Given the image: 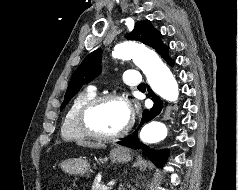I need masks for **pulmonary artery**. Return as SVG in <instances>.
I'll return each instance as SVG.
<instances>
[{
	"instance_id": "obj_1",
	"label": "pulmonary artery",
	"mask_w": 238,
	"mask_h": 190,
	"mask_svg": "<svg viewBox=\"0 0 238 190\" xmlns=\"http://www.w3.org/2000/svg\"><path fill=\"white\" fill-rule=\"evenodd\" d=\"M123 81L126 85L135 87L141 84V77L137 71L128 70L123 75Z\"/></svg>"
}]
</instances>
